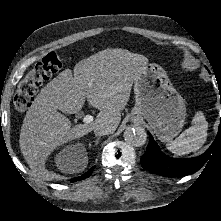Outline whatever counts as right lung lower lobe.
I'll return each instance as SVG.
<instances>
[{"label": "right lung lower lobe", "mask_w": 221, "mask_h": 221, "mask_svg": "<svg viewBox=\"0 0 221 221\" xmlns=\"http://www.w3.org/2000/svg\"><path fill=\"white\" fill-rule=\"evenodd\" d=\"M93 169H94V167H92L89 171H87L82 176H79V177H76V178L72 179L71 182H75V181H78V180L88 178L90 176L91 172L93 171Z\"/></svg>", "instance_id": "obj_1"}]
</instances>
